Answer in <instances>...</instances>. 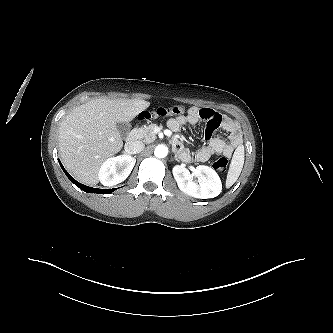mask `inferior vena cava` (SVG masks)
Segmentation results:
<instances>
[{
    "label": "inferior vena cava",
    "mask_w": 333,
    "mask_h": 333,
    "mask_svg": "<svg viewBox=\"0 0 333 333\" xmlns=\"http://www.w3.org/2000/svg\"><path fill=\"white\" fill-rule=\"evenodd\" d=\"M125 152L128 154H138L145 148V145L141 141H129L125 144Z\"/></svg>",
    "instance_id": "602c4592"
}]
</instances>
